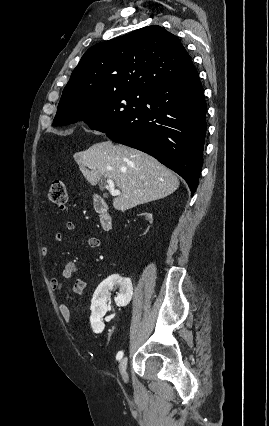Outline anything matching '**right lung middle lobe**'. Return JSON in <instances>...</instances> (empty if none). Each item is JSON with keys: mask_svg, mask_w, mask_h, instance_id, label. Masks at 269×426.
Segmentation results:
<instances>
[{"mask_svg": "<svg viewBox=\"0 0 269 426\" xmlns=\"http://www.w3.org/2000/svg\"><path fill=\"white\" fill-rule=\"evenodd\" d=\"M147 93L118 92L89 98H61L53 125L61 126L84 120L101 132L121 125L145 104Z\"/></svg>", "mask_w": 269, "mask_h": 426, "instance_id": "obj_1", "label": "right lung middle lobe"}]
</instances>
